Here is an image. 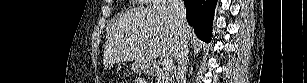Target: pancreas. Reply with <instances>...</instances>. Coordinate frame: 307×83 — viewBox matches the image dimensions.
I'll list each match as a JSON object with an SVG mask.
<instances>
[{"label":"pancreas","instance_id":"pancreas-1","mask_svg":"<svg viewBox=\"0 0 307 83\" xmlns=\"http://www.w3.org/2000/svg\"><path fill=\"white\" fill-rule=\"evenodd\" d=\"M156 80L157 83H167L168 81L167 77L161 74L157 76Z\"/></svg>","mask_w":307,"mask_h":83}]
</instances>
